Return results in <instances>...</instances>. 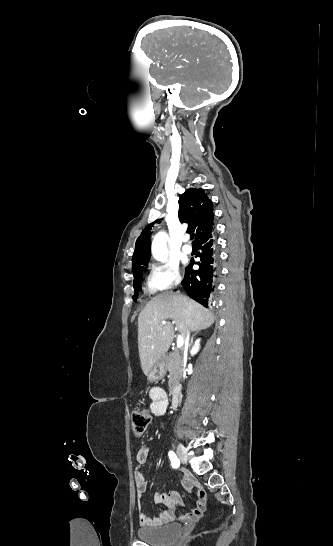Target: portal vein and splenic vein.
<instances>
[{
  "label": "portal vein and splenic vein",
  "instance_id": "1",
  "mask_svg": "<svg viewBox=\"0 0 333 546\" xmlns=\"http://www.w3.org/2000/svg\"><path fill=\"white\" fill-rule=\"evenodd\" d=\"M163 325L166 324V321L165 320H162L161 322ZM184 345V339L181 335H178L177 337V348H182Z\"/></svg>",
  "mask_w": 333,
  "mask_h": 546
}]
</instances>
